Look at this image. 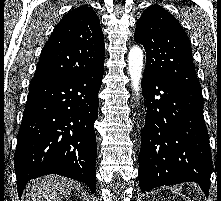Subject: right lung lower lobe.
Returning a JSON list of instances; mask_svg holds the SVG:
<instances>
[{"instance_id":"1","label":"right lung lower lobe","mask_w":221,"mask_h":201,"mask_svg":"<svg viewBox=\"0 0 221 201\" xmlns=\"http://www.w3.org/2000/svg\"><path fill=\"white\" fill-rule=\"evenodd\" d=\"M103 70L69 78H32L15 151L17 191L59 174L96 191L94 122Z\"/></svg>"}]
</instances>
